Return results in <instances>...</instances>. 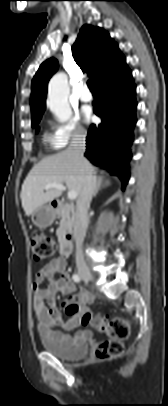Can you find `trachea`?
<instances>
[{
	"label": "trachea",
	"instance_id": "trachea-1",
	"mask_svg": "<svg viewBox=\"0 0 168 406\" xmlns=\"http://www.w3.org/2000/svg\"><path fill=\"white\" fill-rule=\"evenodd\" d=\"M87 85H88V87H89V89H90L91 92H95V91H96L95 86H94V83L92 82V80H88Z\"/></svg>",
	"mask_w": 168,
	"mask_h": 406
}]
</instances>
